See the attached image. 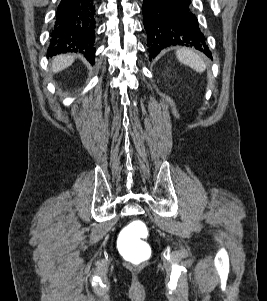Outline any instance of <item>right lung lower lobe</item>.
<instances>
[{
	"instance_id": "right-lung-lower-lobe-1",
	"label": "right lung lower lobe",
	"mask_w": 267,
	"mask_h": 301,
	"mask_svg": "<svg viewBox=\"0 0 267 301\" xmlns=\"http://www.w3.org/2000/svg\"><path fill=\"white\" fill-rule=\"evenodd\" d=\"M95 28L94 0H61L47 55L81 52L93 64Z\"/></svg>"
}]
</instances>
